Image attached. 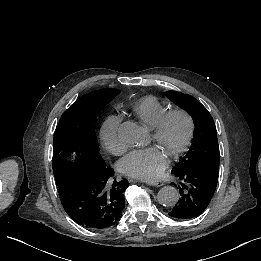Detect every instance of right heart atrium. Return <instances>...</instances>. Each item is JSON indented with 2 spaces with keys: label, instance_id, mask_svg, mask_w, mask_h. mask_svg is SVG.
<instances>
[{
  "label": "right heart atrium",
  "instance_id": "right-heart-atrium-1",
  "mask_svg": "<svg viewBox=\"0 0 261 261\" xmlns=\"http://www.w3.org/2000/svg\"><path fill=\"white\" fill-rule=\"evenodd\" d=\"M101 141L104 150L113 156L120 155L125 151L126 146L118 138L117 117L106 118L101 128Z\"/></svg>",
  "mask_w": 261,
  "mask_h": 261
}]
</instances>
